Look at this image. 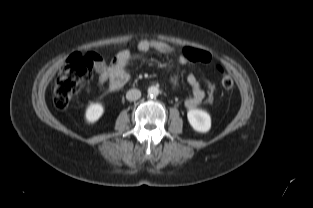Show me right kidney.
<instances>
[{"instance_id":"right-kidney-1","label":"right kidney","mask_w":313,"mask_h":208,"mask_svg":"<svg viewBox=\"0 0 313 208\" xmlns=\"http://www.w3.org/2000/svg\"><path fill=\"white\" fill-rule=\"evenodd\" d=\"M104 113V107L100 103L90 104L85 113V119L88 123H95Z\"/></svg>"}]
</instances>
